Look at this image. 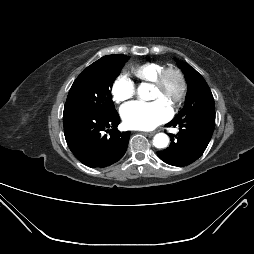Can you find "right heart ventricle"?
I'll use <instances>...</instances> for the list:
<instances>
[{
	"instance_id": "obj_1",
	"label": "right heart ventricle",
	"mask_w": 254,
	"mask_h": 254,
	"mask_svg": "<svg viewBox=\"0 0 254 254\" xmlns=\"http://www.w3.org/2000/svg\"><path fill=\"white\" fill-rule=\"evenodd\" d=\"M163 68L161 64L155 62H146L137 64L130 70L131 75L139 82H153L158 72Z\"/></svg>"
}]
</instances>
